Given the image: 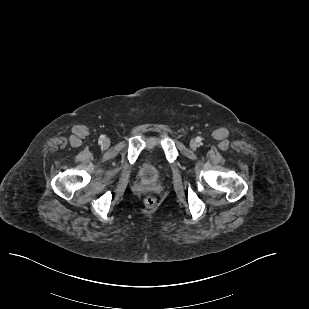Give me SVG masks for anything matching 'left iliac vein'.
I'll list each match as a JSON object with an SVG mask.
<instances>
[{
    "label": "left iliac vein",
    "instance_id": "left-iliac-vein-1",
    "mask_svg": "<svg viewBox=\"0 0 309 309\" xmlns=\"http://www.w3.org/2000/svg\"><path fill=\"white\" fill-rule=\"evenodd\" d=\"M190 147H191V149H193V150H196V149H197L198 144H197L196 140H191V141H190Z\"/></svg>",
    "mask_w": 309,
    "mask_h": 309
}]
</instances>
